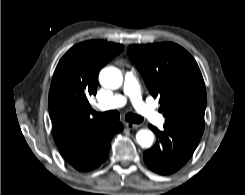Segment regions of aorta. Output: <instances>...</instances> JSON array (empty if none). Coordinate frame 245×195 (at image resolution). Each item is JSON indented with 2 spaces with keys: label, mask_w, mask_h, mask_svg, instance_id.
Segmentation results:
<instances>
[{
  "label": "aorta",
  "mask_w": 245,
  "mask_h": 195,
  "mask_svg": "<svg viewBox=\"0 0 245 195\" xmlns=\"http://www.w3.org/2000/svg\"><path fill=\"white\" fill-rule=\"evenodd\" d=\"M99 81L103 87L118 89L123 83V76L117 68L106 67L101 70ZM136 140L142 148H150L153 144L154 135L148 129H141L136 134Z\"/></svg>",
  "instance_id": "obj_1"
}]
</instances>
